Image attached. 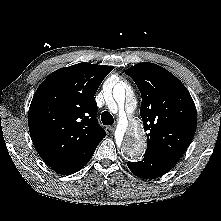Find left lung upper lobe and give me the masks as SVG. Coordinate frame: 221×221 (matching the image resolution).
Returning a JSON list of instances; mask_svg holds the SVG:
<instances>
[{
    "mask_svg": "<svg viewBox=\"0 0 221 221\" xmlns=\"http://www.w3.org/2000/svg\"><path fill=\"white\" fill-rule=\"evenodd\" d=\"M136 83L140 115L147 131L145 153L176 163L189 147L197 113L186 87L163 67L143 62L125 71Z\"/></svg>",
    "mask_w": 221,
    "mask_h": 221,
    "instance_id": "left-lung-upper-lobe-1",
    "label": "left lung upper lobe"
}]
</instances>
